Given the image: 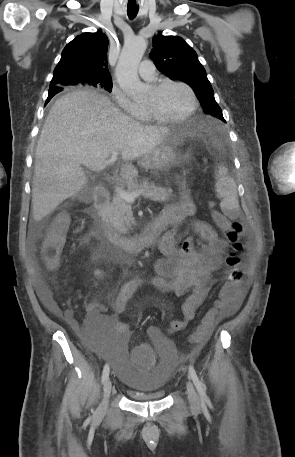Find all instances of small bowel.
I'll use <instances>...</instances> for the list:
<instances>
[{"label": "small bowel", "mask_w": 295, "mask_h": 457, "mask_svg": "<svg viewBox=\"0 0 295 457\" xmlns=\"http://www.w3.org/2000/svg\"><path fill=\"white\" fill-rule=\"evenodd\" d=\"M180 194V201L165 207L158 216L163 222V235L159 241L163 257L155 262L154 275L148 280L150 286L164 294L188 295L181 307L182 318L170 322L169 330L173 333L183 330L195 318L196 310L204 304L212 286V275L221 268L228 248V243L211 225L195 218V204L183 187ZM141 283V280H131L123 285L117 297L109 303L112 314L105 312V305L90 303L84 320L88 329L97 334L115 332L125 338L129 334V324L121 320V316ZM243 293L241 287L238 300L230 311L239 306ZM39 294L50 311L61 314L45 286L39 287ZM148 334L154 341L163 342L158 327H149Z\"/></svg>", "instance_id": "1"}]
</instances>
